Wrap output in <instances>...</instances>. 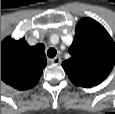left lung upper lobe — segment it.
<instances>
[{
	"mask_svg": "<svg viewBox=\"0 0 115 114\" xmlns=\"http://www.w3.org/2000/svg\"><path fill=\"white\" fill-rule=\"evenodd\" d=\"M71 58L62 63L70 80L77 86L93 87L101 83L115 64V43L97 21L81 19L69 48Z\"/></svg>",
	"mask_w": 115,
	"mask_h": 114,
	"instance_id": "5c2ea615",
	"label": "left lung upper lobe"
}]
</instances>
